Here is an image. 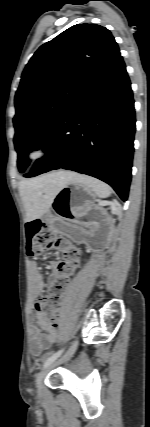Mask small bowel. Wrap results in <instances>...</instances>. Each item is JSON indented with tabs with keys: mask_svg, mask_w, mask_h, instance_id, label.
<instances>
[{
	"mask_svg": "<svg viewBox=\"0 0 150 427\" xmlns=\"http://www.w3.org/2000/svg\"><path fill=\"white\" fill-rule=\"evenodd\" d=\"M59 266L60 262L52 261L50 263V268L54 270V273L50 277L51 282L57 278ZM30 269L36 291H43L45 287L44 278L36 262L33 261L30 263ZM29 334L30 352L34 356H37L42 351L48 349L57 340V331L55 327L48 323L44 314L41 312L37 313L36 325L31 326Z\"/></svg>",
	"mask_w": 150,
	"mask_h": 427,
	"instance_id": "c3829d8e",
	"label": "small bowel"
}]
</instances>
